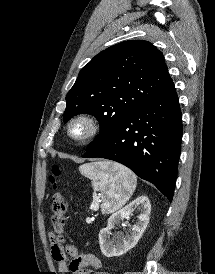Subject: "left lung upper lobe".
I'll return each instance as SVG.
<instances>
[{
    "instance_id": "1",
    "label": "left lung upper lobe",
    "mask_w": 215,
    "mask_h": 274,
    "mask_svg": "<svg viewBox=\"0 0 215 274\" xmlns=\"http://www.w3.org/2000/svg\"><path fill=\"white\" fill-rule=\"evenodd\" d=\"M172 82L162 53L150 42L130 40L97 54L66 95L64 121L87 113L100 123L88 150L105 139L140 105Z\"/></svg>"
}]
</instances>
